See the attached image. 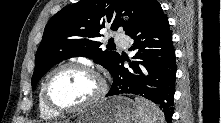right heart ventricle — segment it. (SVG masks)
Segmentation results:
<instances>
[{"instance_id":"1","label":"right heart ventricle","mask_w":221,"mask_h":123,"mask_svg":"<svg viewBox=\"0 0 221 123\" xmlns=\"http://www.w3.org/2000/svg\"><path fill=\"white\" fill-rule=\"evenodd\" d=\"M39 113L44 119H54L59 116V113H56L49 109L43 101L42 92H39V100H38Z\"/></svg>"}]
</instances>
